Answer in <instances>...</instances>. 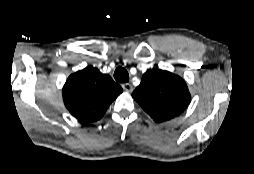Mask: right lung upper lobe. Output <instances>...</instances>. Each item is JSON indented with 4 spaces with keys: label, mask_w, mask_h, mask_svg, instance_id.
Masks as SVG:
<instances>
[{
    "label": "right lung upper lobe",
    "mask_w": 254,
    "mask_h": 174,
    "mask_svg": "<svg viewBox=\"0 0 254 174\" xmlns=\"http://www.w3.org/2000/svg\"><path fill=\"white\" fill-rule=\"evenodd\" d=\"M123 89L107 74L87 67L70 75L63 87V100L69 112L82 122L102 118Z\"/></svg>",
    "instance_id": "cb5924a9"
}]
</instances>
